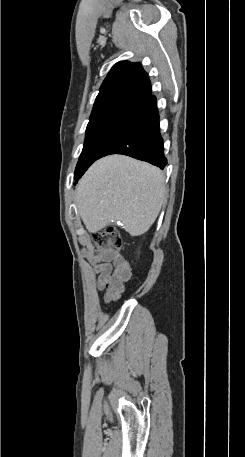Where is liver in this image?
Returning a JSON list of instances; mask_svg holds the SVG:
<instances>
[{"label":"liver","instance_id":"1","mask_svg":"<svg viewBox=\"0 0 245 457\" xmlns=\"http://www.w3.org/2000/svg\"><path fill=\"white\" fill-rule=\"evenodd\" d=\"M165 176L157 166L123 154L96 160L79 180L78 212L89 233L121 220L131 237L146 233L166 200Z\"/></svg>","mask_w":245,"mask_h":457}]
</instances>
